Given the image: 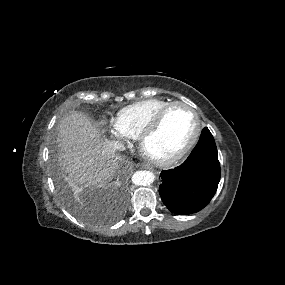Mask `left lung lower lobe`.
<instances>
[{
  "instance_id": "0a47b994",
  "label": "left lung lower lobe",
  "mask_w": 285,
  "mask_h": 285,
  "mask_svg": "<svg viewBox=\"0 0 285 285\" xmlns=\"http://www.w3.org/2000/svg\"><path fill=\"white\" fill-rule=\"evenodd\" d=\"M159 194L166 207L175 214L200 211L216 193L221 176L217 148L207 127L190 156L180 166L163 170Z\"/></svg>"
}]
</instances>
